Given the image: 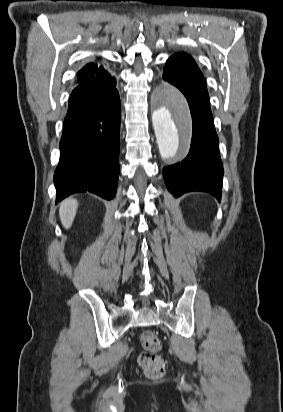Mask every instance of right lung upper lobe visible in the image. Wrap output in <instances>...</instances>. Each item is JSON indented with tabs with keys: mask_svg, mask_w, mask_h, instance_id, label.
Here are the masks:
<instances>
[{
	"mask_svg": "<svg viewBox=\"0 0 283 412\" xmlns=\"http://www.w3.org/2000/svg\"><path fill=\"white\" fill-rule=\"evenodd\" d=\"M78 81L77 84H80L86 80H89L91 78H101V79H112L111 75L108 73V71L101 65L97 64H87L84 68H82L78 73H77Z\"/></svg>",
	"mask_w": 283,
	"mask_h": 412,
	"instance_id": "1",
	"label": "right lung upper lobe"
}]
</instances>
